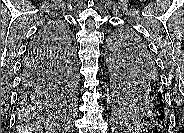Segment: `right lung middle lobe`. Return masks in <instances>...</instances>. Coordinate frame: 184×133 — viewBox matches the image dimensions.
<instances>
[{
	"instance_id": "dd1d6c3e",
	"label": "right lung middle lobe",
	"mask_w": 184,
	"mask_h": 133,
	"mask_svg": "<svg viewBox=\"0 0 184 133\" xmlns=\"http://www.w3.org/2000/svg\"><path fill=\"white\" fill-rule=\"evenodd\" d=\"M57 26L62 33V37L68 39L70 46V49L66 51L65 61L67 65L64 78L58 87V91L51 99L42 101L39 104L18 103V111L23 118L68 110L74 105L76 69L74 65L72 35L65 24L57 22Z\"/></svg>"
}]
</instances>
